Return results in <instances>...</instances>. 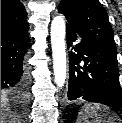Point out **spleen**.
<instances>
[{"instance_id": "obj_1", "label": "spleen", "mask_w": 122, "mask_h": 123, "mask_svg": "<svg viewBox=\"0 0 122 123\" xmlns=\"http://www.w3.org/2000/svg\"><path fill=\"white\" fill-rule=\"evenodd\" d=\"M107 116L109 117L107 108L99 104H86L79 112L77 123H103L102 118ZM107 123L111 122L107 121Z\"/></svg>"}]
</instances>
